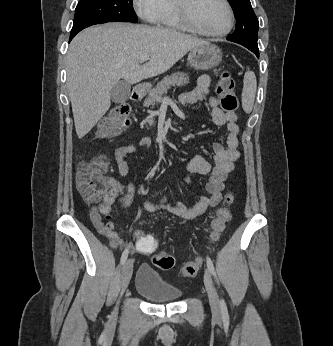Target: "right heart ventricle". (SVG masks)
Instances as JSON below:
<instances>
[{
	"label": "right heart ventricle",
	"mask_w": 333,
	"mask_h": 346,
	"mask_svg": "<svg viewBox=\"0 0 333 346\" xmlns=\"http://www.w3.org/2000/svg\"><path fill=\"white\" fill-rule=\"evenodd\" d=\"M158 25L174 29V30H186L187 28L180 21L174 0H166V5L162 16L157 22Z\"/></svg>",
	"instance_id": "e07e8e85"
}]
</instances>
